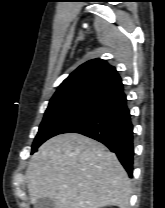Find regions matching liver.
Listing matches in <instances>:
<instances>
[{
    "label": "liver",
    "mask_w": 165,
    "mask_h": 208,
    "mask_svg": "<svg viewBox=\"0 0 165 208\" xmlns=\"http://www.w3.org/2000/svg\"><path fill=\"white\" fill-rule=\"evenodd\" d=\"M31 203L50 198L56 208H128L131 182L114 153L77 133L43 143L26 170Z\"/></svg>",
    "instance_id": "6515ba94"
}]
</instances>
